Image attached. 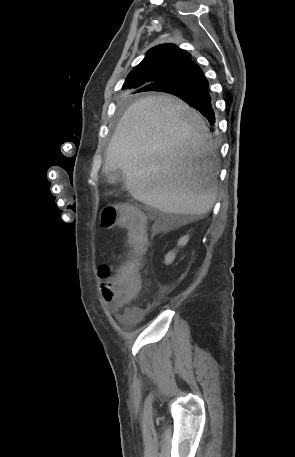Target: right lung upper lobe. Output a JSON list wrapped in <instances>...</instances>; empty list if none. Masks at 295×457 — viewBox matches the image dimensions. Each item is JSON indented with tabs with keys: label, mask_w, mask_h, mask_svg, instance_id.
Returning a JSON list of instances; mask_svg holds the SVG:
<instances>
[{
	"label": "right lung upper lobe",
	"mask_w": 295,
	"mask_h": 457,
	"mask_svg": "<svg viewBox=\"0 0 295 457\" xmlns=\"http://www.w3.org/2000/svg\"><path fill=\"white\" fill-rule=\"evenodd\" d=\"M191 62V55L175 45H158L150 49L142 62L129 73L123 89H143L175 79Z\"/></svg>",
	"instance_id": "1"
}]
</instances>
